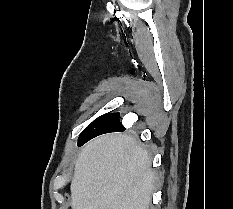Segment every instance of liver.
Here are the masks:
<instances>
[{"instance_id": "obj_1", "label": "liver", "mask_w": 233, "mask_h": 209, "mask_svg": "<svg viewBox=\"0 0 233 209\" xmlns=\"http://www.w3.org/2000/svg\"><path fill=\"white\" fill-rule=\"evenodd\" d=\"M154 172L146 149L126 134L88 142L75 162L72 209H149Z\"/></svg>"}]
</instances>
